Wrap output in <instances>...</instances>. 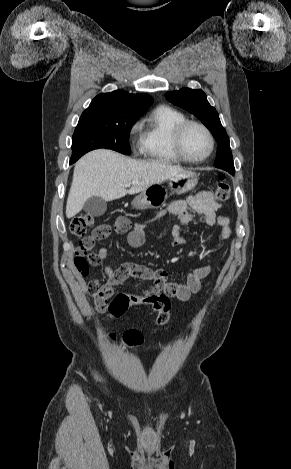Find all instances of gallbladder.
<instances>
[{"instance_id": "obj_1", "label": "gallbladder", "mask_w": 291, "mask_h": 469, "mask_svg": "<svg viewBox=\"0 0 291 469\" xmlns=\"http://www.w3.org/2000/svg\"><path fill=\"white\" fill-rule=\"evenodd\" d=\"M107 209L106 201L101 197L92 196L86 200L83 210L90 216L99 217L105 213Z\"/></svg>"}]
</instances>
